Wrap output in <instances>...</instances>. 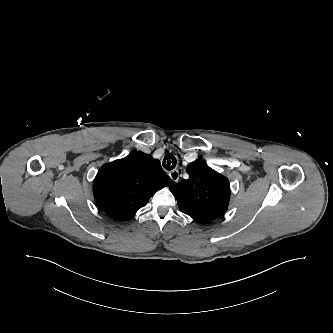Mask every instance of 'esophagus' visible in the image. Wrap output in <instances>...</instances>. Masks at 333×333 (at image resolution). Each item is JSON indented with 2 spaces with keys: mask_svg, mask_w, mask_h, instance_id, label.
I'll use <instances>...</instances> for the list:
<instances>
[{
  "mask_svg": "<svg viewBox=\"0 0 333 333\" xmlns=\"http://www.w3.org/2000/svg\"><path fill=\"white\" fill-rule=\"evenodd\" d=\"M169 176L173 183H177L180 180L181 173L179 172V170H173L172 172H170Z\"/></svg>",
  "mask_w": 333,
  "mask_h": 333,
  "instance_id": "34e87169",
  "label": "esophagus"
}]
</instances>
